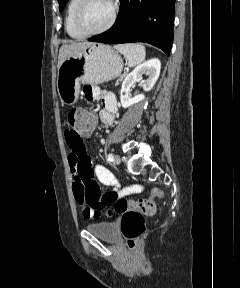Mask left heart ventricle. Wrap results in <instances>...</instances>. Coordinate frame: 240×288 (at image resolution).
I'll return each instance as SVG.
<instances>
[{"instance_id": "b2bd125f", "label": "left heart ventricle", "mask_w": 240, "mask_h": 288, "mask_svg": "<svg viewBox=\"0 0 240 288\" xmlns=\"http://www.w3.org/2000/svg\"><path fill=\"white\" fill-rule=\"evenodd\" d=\"M110 0H89L81 16V24L88 31L103 27L111 15Z\"/></svg>"}]
</instances>
